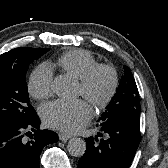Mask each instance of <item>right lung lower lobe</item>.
I'll return each instance as SVG.
<instances>
[{"mask_svg":"<svg viewBox=\"0 0 168 168\" xmlns=\"http://www.w3.org/2000/svg\"><path fill=\"white\" fill-rule=\"evenodd\" d=\"M38 116L30 121H0V168H39V155L44 146L58 141V135L40 130ZM25 135L30 137L26 141ZM30 134V135H29Z\"/></svg>","mask_w":168,"mask_h":168,"instance_id":"right-lung-lower-lobe-1","label":"right lung lower lobe"}]
</instances>
